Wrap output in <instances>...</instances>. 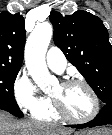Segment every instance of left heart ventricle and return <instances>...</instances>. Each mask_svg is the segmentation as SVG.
Segmentation results:
<instances>
[{
    "label": "left heart ventricle",
    "instance_id": "b2bd125f",
    "mask_svg": "<svg viewBox=\"0 0 112 135\" xmlns=\"http://www.w3.org/2000/svg\"><path fill=\"white\" fill-rule=\"evenodd\" d=\"M50 95L57 98L62 107L75 117H86L92 110V99L87 89L81 85L56 84Z\"/></svg>",
    "mask_w": 112,
    "mask_h": 135
}]
</instances>
